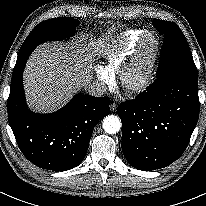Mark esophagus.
<instances>
[{
    "label": "esophagus",
    "mask_w": 206,
    "mask_h": 206,
    "mask_svg": "<svg viewBox=\"0 0 206 206\" xmlns=\"http://www.w3.org/2000/svg\"><path fill=\"white\" fill-rule=\"evenodd\" d=\"M117 104L115 102L110 104V109L112 112H116L117 111Z\"/></svg>",
    "instance_id": "34e87169"
}]
</instances>
